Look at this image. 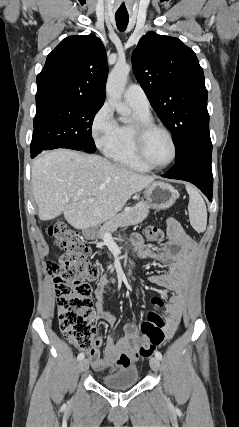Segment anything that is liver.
Here are the masks:
<instances>
[{
  "mask_svg": "<svg viewBox=\"0 0 239 427\" xmlns=\"http://www.w3.org/2000/svg\"><path fill=\"white\" fill-rule=\"evenodd\" d=\"M31 179L39 218L48 221L63 212L67 222L80 230L110 220L133 194L154 181L100 155L67 149L36 158Z\"/></svg>",
  "mask_w": 239,
  "mask_h": 427,
  "instance_id": "liver-1",
  "label": "liver"
}]
</instances>
